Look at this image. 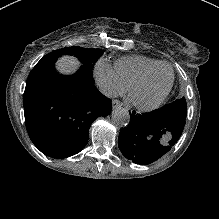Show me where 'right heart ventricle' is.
Returning a JSON list of instances; mask_svg holds the SVG:
<instances>
[{
    "mask_svg": "<svg viewBox=\"0 0 219 219\" xmlns=\"http://www.w3.org/2000/svg\"><path fill=\"white\" fill-rule=\"evenodd\" d=\"M158 63L157 59L147 56H125L115 61L114 74L123 84L129 85L138 75Z\"/></svg>",
    "mask_w": 219,
    "mask_h": 219,
    "instance_id": "right-heart-ventricle-1",
    "label": "right heart ventricle"
}]
</instances>
